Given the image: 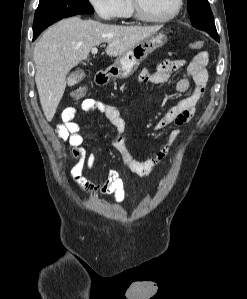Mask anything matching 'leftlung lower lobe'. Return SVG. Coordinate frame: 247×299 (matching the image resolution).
<instances>
[{"mask_svg": "<svg viewBox=\"0 0 247 299\" xmlns=\"http://www.w3.org/2000/svg\"><path fill=\"white\" fill-rule=\"evenodd\" d=\"M211 37H213L216 41H219V36L218 35H210Z\"/></svg>", "mask_w": 247, "mask_h": 299, "instance_id": "obj_1", "label": "left lung lower lobe"}]
</instances>
